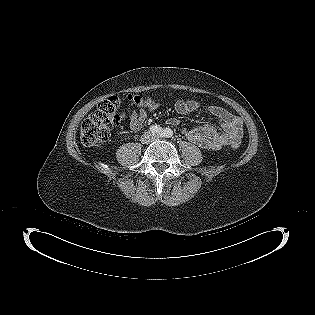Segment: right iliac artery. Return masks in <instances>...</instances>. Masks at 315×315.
I'll return each instance as SVG.
<instances>
[{
	"instance_id": "right-iliac-artery-1",
	"label": "right iliac artery",
	"mask_w": 315,
	"mask_h": 315,
	"mask_svg": "<svg viewBox=\"0 0 315 315\" xmlns=\"http://www.w3.org/2000/svg\"><path fill=\"white\" fill-rule=\"evenodd\" d=\"M149 132L152 134H160L162 132V128L159 125H152L149 128Z\"/></svg>"
}]
</instances>
